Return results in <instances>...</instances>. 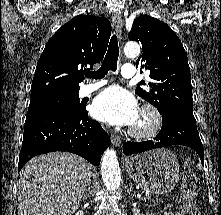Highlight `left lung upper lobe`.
<instances>
[{"instance_id": "5c2ea615", "label": "left lung upper lobe", "mask_w": 221, "mask_h": 215, "mask_svg": "<svg viewBox=\"0 0 221 215\" xmlns=\"http://www.w3.org/2000/svg\"><path fill=\"white\" fill-rule=\"evenodd\" d=\"M128 38L142 45L143 53L136 66L150 71L151 80L141 81L135 93L154 105L162 117L193 115L188 59L174 31L156 18L141 15L134 21Z\"/></svg>"}]
</instances>
